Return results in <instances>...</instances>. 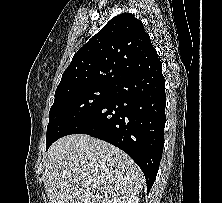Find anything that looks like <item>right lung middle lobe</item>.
<instances>
[{
    "label": "right lung middle lobe",
    "instance_id": "1",
    "mask_svg": "<svg viewBox=\"0 0 222 203\" xmlns=\"http://www.w3.org/2000/svg\"><path fill=\"white\" fill-rule=\"evenodd\" d=\"M110 92L111 87L97 85L74 86L56 91L54 103L49 111L46 149L69 125L100 106Z\"/></svg>",
    "mask_w": 222,
    "mask_h": 203
}]
</instances>
